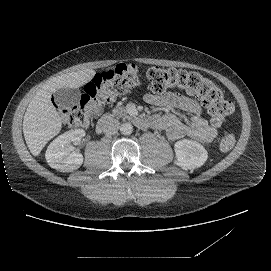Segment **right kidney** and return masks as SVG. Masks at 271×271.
<instances>
[{"mask_svg": "<svg viewBox=\"0 0 271 271\" xmlns=\"http://www.w3.org/2000/svg\"><path fill=\"white\" fill-rule=\"evenodd\" d=\"M85 136L83 129L69 130L54 139L46 150V160L50 167L61 172H72L83 163V155L72 145L78 144Z\"/></svg>", "mask_w": 271, "mask_h": 271, "instance_id": "right-kidney-1", "label": "right kidney"}]
</instances>
